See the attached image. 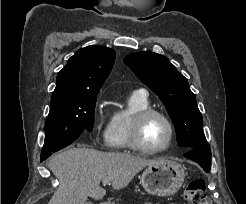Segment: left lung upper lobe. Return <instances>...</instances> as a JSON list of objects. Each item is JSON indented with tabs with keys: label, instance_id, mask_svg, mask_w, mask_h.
<instances>
[{
	"label": "left lung upper lobe",
	"instance_id": "5c2ea615",
	"mask_svg": "<svg viewBox=\"0 0 246 204\" xmlns=\"http://www.w3.org/2000/svg\"><path fill=\"white\" fill-rule=\"evenodd\" d=\"M124 62L165 105L175 125L179 146L198 148L208 144L195 95L187 79L165 56L153 52L131 53Z\"/></svg>",
	"mask_w": 246,
	"mask_h": 204
}]
</instances>
